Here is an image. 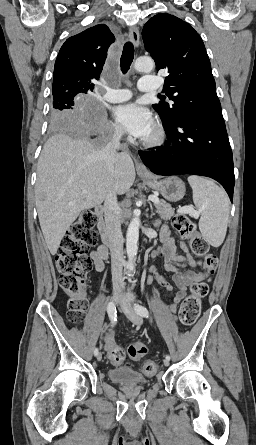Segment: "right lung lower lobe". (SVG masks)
<instances>
[{
	"label": "right lung lower lobe",
	"instance_id": "right-lung-lower-lobe-1",
	"mask_svg": "<svg viewBox=\"0 0 256 445\" xmlns=\"http://www.w3.org/2000/svg\"><path fill=\"white\" fill-rule=\"evenodd\" d=\"M88 119L90 120L89 134L107 137L110 134V128L106 122V116L103 109L92 107L88 110Z\"/></svg>",
	"mask_w": 256,
	"mask_h": 445
}]
</instances>
